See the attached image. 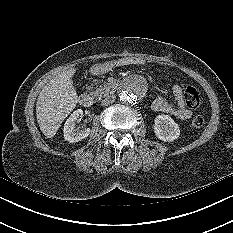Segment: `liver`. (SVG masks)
I'll list each match as a JSON object with an SVG mask.
<instances>
[{
  "label": "liver",
  "mask_w": 233,
  "mask_h": 233,
  "mask_svg": "<svg viewBox=\"0 0 233 233\" xmlns=\"http://www.w3.org/2000/svg\"><path fill=\"white\" fill-rule=\"evenodd\" d=\"M76 68H70L51 79L40 92L36 103V117L40 130L52 138L63 120L75 108L78 95L72 77Z\"/></svg>",
  "instance_id": "6515ba94"
}]
</instances>
